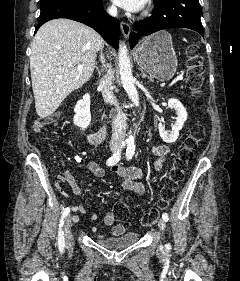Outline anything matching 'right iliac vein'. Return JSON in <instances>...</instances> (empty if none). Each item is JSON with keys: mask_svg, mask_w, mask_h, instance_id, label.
<instances>
[{"mask_svg": "<svg viewBox=\"0 0 240 281\" xmlns=\"http://www.w3.org/2000/svg\"><path fill=\"white\" fill-rule=\"evenodd\" d=\"M117 150V147H113L112 151L115 152ZM71 226H72V221H71V216L69 215L64 224V235H65V241L66 245L68 247H71L74 243L73 235L71 232Z\"/></svg>", "mask_w": 240, "mask_h": 281, "instance_id": "63e3f726", "label": "right iliac vein"}]
</instances>
